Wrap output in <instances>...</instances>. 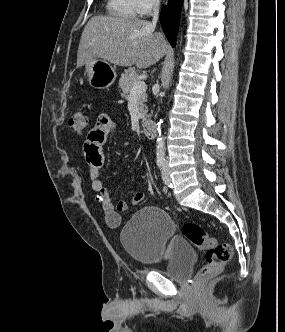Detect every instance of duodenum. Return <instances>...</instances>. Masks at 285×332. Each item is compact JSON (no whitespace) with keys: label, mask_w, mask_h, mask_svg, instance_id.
Segmentation results:
<instances>
[{"label":"duodenum","mask_w":285,"mask_h":332,"mask_svg":"<svg viewBox=\"0 0 285 332\" xmlns=\"http://www.w3.org/2000/svg\"><path fill=\"white\" fill-rule=\"evenodd\" d=\"M142 130L147 138L152 139L155 137V125L152 121H146L142 126Z\"/></svg>","instance_id":"410a0bca"}]
</instances>
